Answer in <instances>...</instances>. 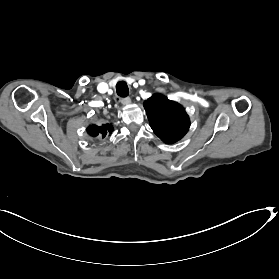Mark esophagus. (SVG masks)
I'll return each instance as SVG.
<instances>
[{
	"mask_svg": "<svg viewBox=\"0 0 279 279\" xmlns=\"http://www.w3.org/2000/svg\"><path fill=\"white\" fill-rule=\"evenodd\" d=\"M131 102L130 98L129 97H125L121 100V103L123 105H128L129 103Z\"/></svg>",
	"mask_w": 279,
	"mask_h": 279,
	"instance_id": "esophagus-1",
	"label": "esophagus"
}]
</instances>
